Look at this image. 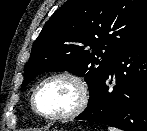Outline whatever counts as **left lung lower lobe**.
<instances>
[{"instance_id":"0a47b994","label":"left lung lower lobe","mask_w":147,"mask_h":131,"mask_svg":"<svg viewBox=\"0 0 147 131\" xmlns=\"http://www.w3.org/2000/svg\"><path fill=\"white\" fill-rule=\"evenodd\" d=\"M113 73L116 85L111 90L108 77ZM75 119L147 131V33L121 50L96 95Z\"/></svg>"}]
</instances>
